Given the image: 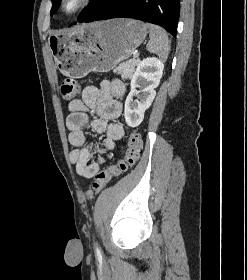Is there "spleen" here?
<instances>
[{
    "instance_id": "1",
    "label": "spleen",
    "mask_w": 247,
    "mask_h": 280,
    "mask_svg": "<svg viewBox=\"0 0 247 280\" xmlns=\"http://www.w3.org/2000/svg\"><path fill=\"white\" fill-rule=\"evenodd\" d=\"M145 25L149 29L150 37L146 49L150 53L157 54L162 60L167 59L170 45L166 32L157 25L150 23H146Z\"/></svg>"
}]
</instances>
